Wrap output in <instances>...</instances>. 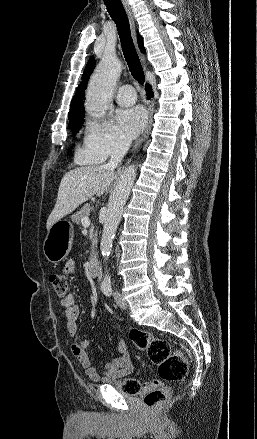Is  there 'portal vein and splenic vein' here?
<instances>
[{
	"label": "portal vein and splenic vein",
	"instance_id": "1",
	"mask_svg": "<svg viewBox=\"0 0 257 439\" xmlns=\"http://www.w3.org/2000/svg\"><path fill=\"white\" fill-rule=\"evenodd\" d=\"M81 223H82L83 227H85V228L89 227L90 226V219H89V217L82 218Z\"/></svg>",
	"mask_w": 257,
	"mask_h": 439
}]
</instances>
